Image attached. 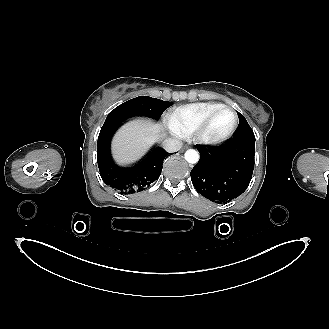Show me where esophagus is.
<instances>
[{
	"label": "esophagus",
	"mask_w": 329,
	"mask_h": 329,
	"mask_svg": "<svg viewBox=\"0 0 329 329\" xmlns=\"http://www.w3.org/2000/svg\"><path fill=\"white\" fill-rule=\"evenodd\" d=\"M186 149H187V147H183V148H182V150H186Z\"/></svg>",
	"instance_id": "esophagus-1"
}]
</instances>
